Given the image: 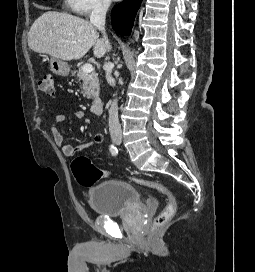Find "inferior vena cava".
<instances>
[{"mask_svg":"<svg viewBox=\"0 0 255 272\" xmlns=\"http://www.w3.org/2000/svg\"><path fill=\"white\" fill-rule=\"evenodd\" d=\"M110 6V0H99L93 7V10L90 14V22L101 31L103 34V40L105 41L107 45V50L111 49L108 37L105 32V18L106 13L108 11V8ZM114 65L112 63H107L104 65V70L106 74V80L107 82L114 86L115 80L111 76L112 69ZM109 132L111 135L115 134H121V125L119 123L118 118V105H117V99H114L111 107L109 109Z\"/></svg>","mask_w":255,"mask_h":272,"instance_id":"obj_1","label":"inferior vena cava"}]
</instances>
